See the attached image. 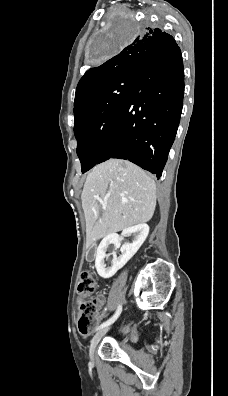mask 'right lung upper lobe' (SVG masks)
Segmentation results:
<instances>
[{"label": "right lung upper lobe", "mask_w": 228, "mask_h": 396, "mask_svg": "<svg viewBox=\"0 0 228 396\" xmlns=\"http://www.w3.org/2000/svg\"><path fill=\"white\" fill-rule=\"evenodd\" d=\"M173 39L156 28H145L131 44L102 65L89 69L80 79L75 94L74 116L87 98L107 82L127 74L136 73L141 61L155 48H167Z\"/></svg>", "instance_id": "obj_1"}]
</instances>
